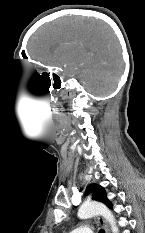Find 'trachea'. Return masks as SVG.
<instances>
[{"instance_id": "trachea-1", "label": "trachea", "mask_w": 145, "mask_h": 233, "mask_svg": "<svg viewBox=\"0 0 145 233\" xmlns=\"http://www.w3.org/2000/svg\"><path fill=\"white\" fill-rule=\"evenodd\" d=\"M99 233H105V231L101 229V230L99 231Z\"/></svg>"}]
</instances>
